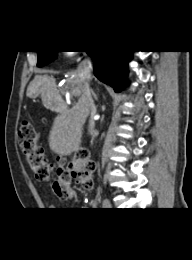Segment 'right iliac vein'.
I'll return each instance as SVG.
<instances>
[{
	"label": "right iliac vein",
	"instance_id": "1",
	"mask_svg": "<svg viewBox=\"0 0 192 260\" xmlns=\"http://www.w3.org/2000/svg\"><path fill=\"white\" fill-rule=\"evenodd\" d=\"M103 207L108 208V209L111 208V204H110L109 200H107V199L103 200Z\"/></svg>",
	"mask_w": 192,
	"mask_h": 260
}]
</instances>
